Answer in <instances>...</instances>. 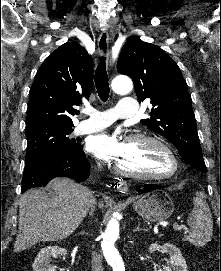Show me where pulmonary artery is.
<instances>
[{"instance_id":"obj_1","label":"pulmonary artery","mask_w":221,"mask_h":271,"mask_svg":"<svg viewBox=\"0 0 221 271\" xmlns=\"http://www.w3.org/2000/svg\"><path fill=\"white\" fill-rule=\"evenodd\" d=\"M121 107H111V112H90L88 121H83L82 125L79 127L80 134H88L100 131L106 126H110L111 122H122V117H136V112H138V102H134V98H121ZM120 112L119 116L116 117L117 113ZM85 117H81L83 119ZM85 126H96L88 128Z\"/></svg>"}]
</instances>
